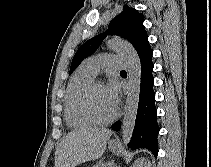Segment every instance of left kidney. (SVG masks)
Wrapping results in <instances>:
<instances>
[{
    "label": "left kidney",
    "mask_w": 211,
    "mask_h": 167,
    "mask_svg": "<svg viewBox=\"0 0 211 167\" xmlns=\"http://www.w3.org/2000/svg\"><path fill=\"white\" fill-rule=\"evenodd\" d=\"M133 165L134 167H151L150 161L144 158H139Z\"/></svg>",
    "instance_id": "5707ae66"
}]
</instances>
